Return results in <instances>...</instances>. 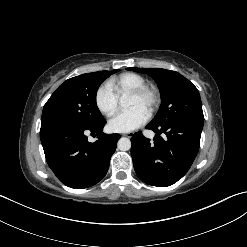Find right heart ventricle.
Instances as JSON below:
<instances>
[{
    "label": "right heart ventricle",
    "instance_id": "e07e8e85",
    "mask_svg": "<svg viewBox=\"0 0 247 247\" xmlns=\"http://www.w3.org/2000/svg\"><path fill=\"white\" fill-rule=\"evenodd\" d=\"M147 85L146 79L137 73H124L110 81L109 86L117 96H125L135 89Z\"/></svg>",
    "mask_w": 247,
    "mask_h": 247
}]
</instances>
